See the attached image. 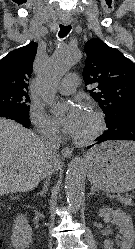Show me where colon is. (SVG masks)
Segmentation results:
<instances>
[{"instance_id": "5ec220e1", "label": "colon", "mask_w": 135, "mask_h": 249, "mask_svg": "<svg viewBox=\"0 0 135 249\" xmlns=\"http://www.w3.org/2000/svg\"><path fill=\"white\" fill-rule=\"evenodd\" d=\"M0 249H2V242L0 241Z\"/></svg>"}]
</instances>
